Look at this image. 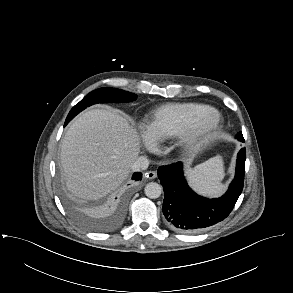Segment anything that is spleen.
Instances as JSON below:
<instances>
[{
    "label": "spleen",
    "mask_w": 293,
    "mask_h": 293,
    "mask_svg": "<svg viewBox=\"0 0 293 293\" xmlns=\"http://www.w3.org/2000/svg\"><path fill=\"white\" fill-rule=\"evenodd\" d=\"M188 177L192 187L201 194L217 196L222 193L223 185L220 181L224 178L223 160L220 156L189 170Z\"/></svg>",
    "instance_id": "spleen-1"
}]
</instances>
